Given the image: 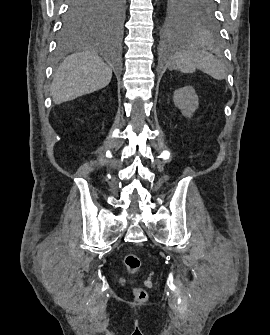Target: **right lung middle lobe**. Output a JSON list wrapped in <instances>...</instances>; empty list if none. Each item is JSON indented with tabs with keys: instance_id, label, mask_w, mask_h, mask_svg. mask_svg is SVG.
<instances>
[{
	"instance_id": "1",
	"label": "right lung middle lobe",
	"mask_w": 270,
	"mask_h": 335,
	"mask_svg": "<svg viewBox=\"0 0 270 335\" xmlns=\"http://www.w3.org/2000/svg\"><path fill=\"white\" fill-rule=\"evenodd\" d=\"M126 0H70L62 21L59 43L66 45L76 36L97 27H121Z\"/></svg>"
}]
</instances>
